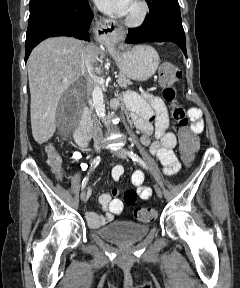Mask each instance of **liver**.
Here are the masks:
<instances>
[{
	"instance_id": "1",
	"label": "liver",
	"mask_w": 240,
	"mask_h": 288,
	"mask_svg": "<svg viewBox=\"0 0 240 288\" xmlns=\"http://www.w3.org/2000/svg\"><path fill=\"white\" fill-rule=\"evenodd\" d=\"M85 45L69 37L42 41L27 62L31 94V127L38 144L47 142L56 130V109L63 93L81 76V57ZM91 61L98 59L100 49L93 45ZM66 79V82L63 80Z\"/></svg>"
}]
</instances>
